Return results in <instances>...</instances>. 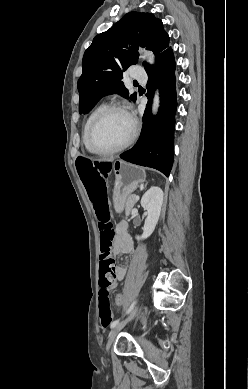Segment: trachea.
<instances>
[{
    "instance_id": "obj_1",
    "label": "trachea",
    "mask_w": 248,
    "mask_h": 389,
    "mask_svg": "<svg viewBox=\"0 0 248 389\" xmlns=\"http://www.w3.org/2000/svg\"><path fill=\"white\" fill-rule=\"evenodd\" d=\"M133 83H134V84H137V81H134Z\"/></svg>"
}]
</instances>
